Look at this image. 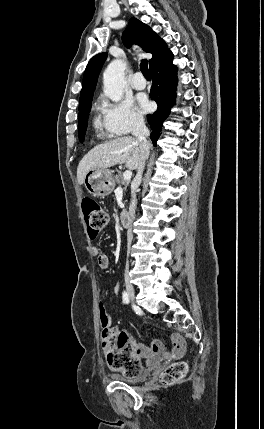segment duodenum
<instances>
[{
	"label": "duodenum",
	"instance_id": "obj_1",
	"mask_svg": "<svg viewBox=\"0 0 264 429\" xmlns=\"http://www.w3.org/2000/svg\"><path fill=\"white\" fill-rule=\"evenodd\" d=\"M130 217V213L128 211H122L119 214V222L122 226L127 227L130 221L128 218Z\"/></svg>",
	"mask_w": 264,
	"mask_h": 429
}]
</instances>
